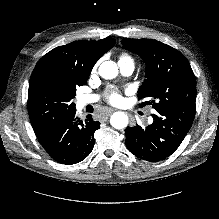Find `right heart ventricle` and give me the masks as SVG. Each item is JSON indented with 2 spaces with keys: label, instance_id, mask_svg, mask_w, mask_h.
Wrapping results in <instances>:
<instances>
[{
  "label": "right heart ventricle",
  "instance_id": "obj_1",
  "mask_svg": "<svg viewBox=\"0 0 219 219\" xmlns=\"http://www.w3.org/2000/svg\"><path fill=\"white\" fill-rule=\"evenodd\" d=\"M122 62H133V59H132V57L129 56L128 54L122 53V54L119 56V63H122Z\"/></svg>",
  "mask_w": 219,
  "mask_h": 219
}]
</instances>
